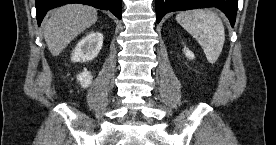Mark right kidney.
<instances>
[{
	"label": "right kidney",
	"instance_id": "obj_1",
	"mask_svg": "<svg viewBox=\"0 0 276 145\" xmlns=\"http://www.w3.org/2000/svg\"><path fill=\"white\" fill-rule=\"evenodd\" d=\"M103 45V35L99 32H90L76 45L71 60L74 62H88L97 57ZM92 75L87 69L77 75V80L83 88L92 83Z\"/></svg>",
	"mask_w": 276,
	"mask_h": 145
}]
</instances>
